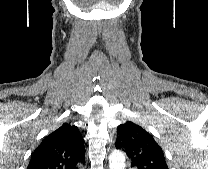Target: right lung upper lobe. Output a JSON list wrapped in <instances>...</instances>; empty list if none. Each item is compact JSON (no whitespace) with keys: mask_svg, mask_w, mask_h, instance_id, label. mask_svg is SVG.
<instances>
[{"mask_svg":"<svg viewBox=\"0 0 208 169\" xmlns=\"http://www.w3.org/2000/svg\"><path fill=\"white\" fill-rule=\"evenodd\" d=\"M84 160V140L79 129L64 123L35 149L27 169H77Z\"/></svg>","mask_w":208,"mask_h":169,"instance_id":"1","label":"right lung upper lobe"}]
</instances>
